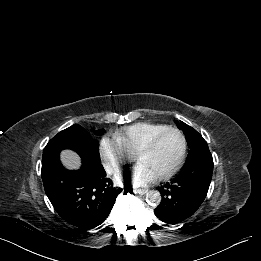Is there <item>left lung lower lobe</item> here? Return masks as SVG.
<instances>
[{
    "mask_svg": "<svg viewBox=\"0 0 261 261\" xmlns=\"http://www.w3.org/2000/svg\"><path fill=\"white\" fill-rule=\"evenodd\" d=\"M213 172L208 146L195 152L171 183L158 187L162 201L154 210L163 222L175 224L190 217L204 201Z\"/></svg>",
    "mask_w": 261,
    "mask_h": 261,
    "instance_id": "left-lung-lower-lobe-1",
    "label": "left lung lower lobe"
}]
</instances>
